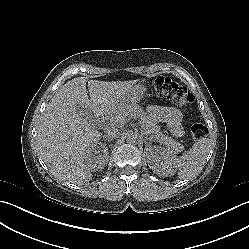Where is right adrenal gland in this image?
I'll return each instance as SVG.
<instances>
[{"label":"right adrenal gland","instance_id":"2a0ac1e0","mask_svg":"<svg viewBox=\"0 0 249 249\" xmlns=\"http://www.w3.org/2000/svg\"><path fill=\"white\" fill-rule=\"evenodd\" d=\"M103 138H106V137L103 136ZM106 140H107L108 142H111V141H112V138H106ZM101 147H105V143H104Z\"/></svg>","mask_w":249,"mask_h":249}]
</instances>
